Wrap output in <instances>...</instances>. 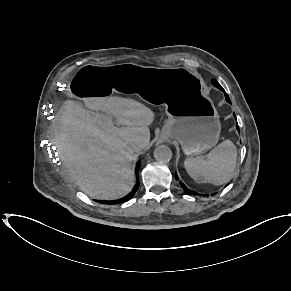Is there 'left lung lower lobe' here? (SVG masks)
I'll return each mask as SVG.
<instances>
[{
    "instance_id": "left-lung-lower-lobe-1",
    "label": "left lung lower lobe",
    "mask_w": 291,
    "mask_h": 291,
    "mask_svg": "<svg viewBox=\"0 0 291 291\" xmlns=\"http://www.w3.org/2000/svg\"><path fill=\"white\" fill-rule=\"evenodd\" d=\"M220 90L224 92V89L222 87H220ZM225 98L229 103H231L227 94H225ZM237 129L239 130L238 124H237ZM175 177L177 180H179L177 174H175ZM179 183L181 184V187L183 188V190L185 191L186 194L196 195V193L194 191H191L190 189H188L181 181ZM203 196H206V195H203Z\"/></svg>"
}]
</instances>
